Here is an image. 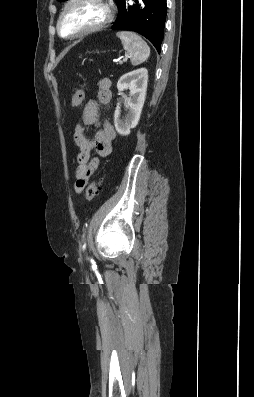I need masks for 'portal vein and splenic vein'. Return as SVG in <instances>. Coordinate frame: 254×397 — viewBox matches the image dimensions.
I'll return each instance as SVG.
<instances>
[{"mask_svg":"<svg viewBox=\"0 0 254 397\" xmlns=\"http://www.w3.org/2000/svg\"><path fill=\"white\" fill-rule=\"evenodd\" d=\"M119 63H120V64H123V61L120 60Z\"/></svg>","mask_w":254,"mask_h":397,"instance_id":"portal-vein-and-splenic-vein-1","label":"portal vein and splenic vein"}]
</instances>
